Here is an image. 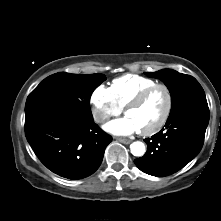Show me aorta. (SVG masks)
Returning <instances> with one entry per match:
<instances>
[{"instance_id":"obj_1","label":"aorta","mask_w":221,"mask_h":221,"mask_svg":"<svg viewBox=\"0 0 221 221\" xmlns=\"http://www.w3.org/2000/svg\"><path fill=\"white\" fill-rule=\"evenodd\" d=\"M130 150L131 153L137 157L143 156L144 153L146 152L145 145L140 141L133 142L130 145Z\"/></svg>"}]
</instances>
